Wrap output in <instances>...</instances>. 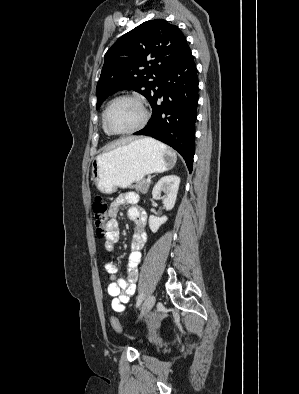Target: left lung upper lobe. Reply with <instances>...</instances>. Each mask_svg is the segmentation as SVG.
Returning <instances> with one entry per match:
<instances>
[{
	"label": "left lung upper lobe",
	"mask_w": 299,
	"mask_h": 394,
	"mask_svg": "<svg viewBox=\"0 0 299 394\" xmlns=\"http://www.w3.org/2000/svg\"><path fill=\"white\" fill-rule=\"evenodd\" d=\"M186 45L180 29L162 19L146 21L124 34L105 54L97 109L119 90L137 91L150 101L160 76Z\"/></svg>",
	"instance_id": "1"
}]
</instances>
